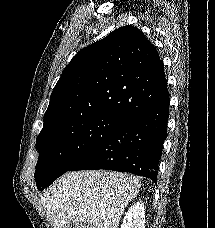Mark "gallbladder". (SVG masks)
Returning <instances> with one entry per match:
<instances>
[{"instance_id":"obj_1","label":"gallbladder","mask_w":215,"mask_h":228,"mask_svg":"<svg viewBox=\"0 0 215 228\" xmlns=\"http://www.w3.org/2000/svg\"><path fill=\"white\" fill-rule=\"evenodd\" d=\"M71 228H75V226H71Z\"/></svg>"}]
</instances>
